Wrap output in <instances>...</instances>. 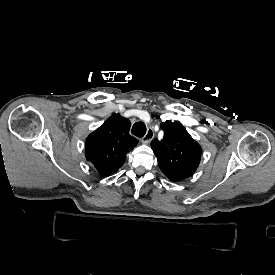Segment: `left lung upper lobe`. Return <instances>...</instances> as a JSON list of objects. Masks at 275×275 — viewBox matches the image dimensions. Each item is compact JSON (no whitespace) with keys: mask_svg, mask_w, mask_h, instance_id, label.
Instances as JSON below:
<instances>
[{"mask_svg":"<svg viewBox=\"0 0 275 275\" xmlns=\"http://www.w3.org/2000/svg\"><path fill=\"white\" fill-rule=\"evenodd\" d=\"M161 128L164 131L163 139L151 142L161 171L171 181L190 177L200 163V145L177 122L168 120L161 123Z\"/></svg>","mask_w":275,"mask_h":275,"instance_id":"left-lung-upper-lobe-1","label":"left lung upper lobe"}]
</instances>
